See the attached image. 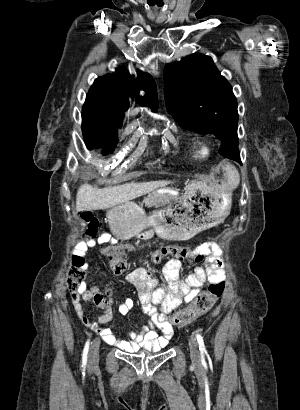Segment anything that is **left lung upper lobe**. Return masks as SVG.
<instances>
[{
    "label": "left lung upper lobe",
    "mask_w": 300,
    "mask_h": 410,
    "mask_svg": "<svg viewBox=\"0 0 300 410\" xmlns=\"http://www.w3.org/2000/svg\"><path fill=\"white\" fill-rule=\"evenodd\" d=\"M165 100L183 128L213 133L222 140L219 152L240 161L237 100L210 56L192 54L164 69Z\"/></svg>",
    "instance_id": "1"
}]
</instances>
